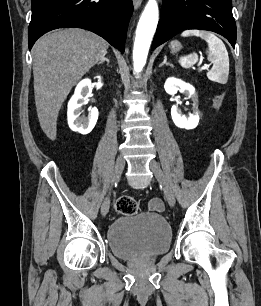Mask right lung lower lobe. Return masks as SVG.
I'll return each mask as SVG.
<instances>
[{
  "label": "right lung lower lobe",
  "instance_id": "98d812e1",
  "mask_svg": "<svg viewBox=\"0 0 261 306\" xmlns=\"http://www.w3.org/2000/svg\"><path fill=\"white\" fill-rule=\"evenodd\" d=\"M32 17L28 28L31 50L36 40L57 28L78 27L90 30L122 53L132 0H32Z\"/></svg>",
  "mask_w": 261,
  "mask_h": 306
}]
</instances>
